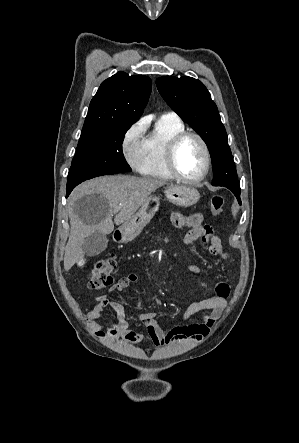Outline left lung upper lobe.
<instances>
[{
    "label": "left lung upper lobe",
    "instance_id": "1",
    "mask_svg": "<svg viewBox=\"0 0 299 443\" xmlns=\"http://www.w3.org/2000/svg\"><path fill=\"white\" fill-rule=\"evenodd\" d=\"M156 84L167 104L207 144L214 173L212 185L240 189L227 133L207 88L188 76H164L158 78Z\"/></svg>",
    "mask_w": 299,
    "mask_h": 443
}]
</instances>
